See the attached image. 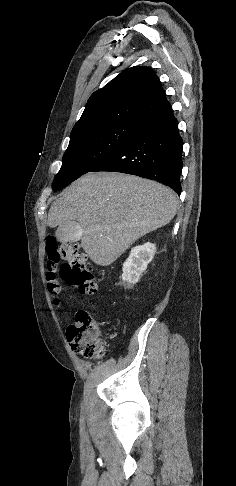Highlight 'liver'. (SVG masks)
I'll return each instance as SVG.
<instances>
[{
	"instance_id": "obj_1",
	"label": "liver",
	"mask_w": 236,
	"mask_h": 486,
	"mask_svg": "<svg viewBox=\"0 0 236 486\" xmlns=\"http://www.w3.org/2000/svg\"><path fill=\"white\" fill-rule=\"evenodd\" d=\"M177 207L175 192L155 181L87 173L52 203L47 224L78 221L83 250L95 264L109 266L140 237L167 225Z\"/></svg>"
}]
</instances>
